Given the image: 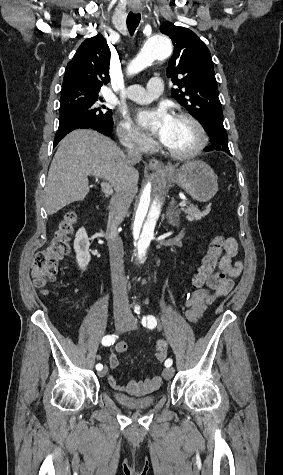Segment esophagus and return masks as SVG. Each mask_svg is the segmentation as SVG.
<instances>
[{
	"mask_svg": "<svg viewBox=\"0 0 283 475\" xmlns=\"http://www.w3.org/2000/svg\"><path fill=\"white\" fill-rule=\"evenodd\" d=\"M135 13H138V11H135ZM149 166L151 168H155V169H158V170H161V169L164 168L162 162L157 160V158H151L150 161H149Z\"/></svg>",
	"mask_w": 283,
	"mask_h": 475,
	"instance_id": "obj_1",
	"label": "esophagus"
}]
</instances>
